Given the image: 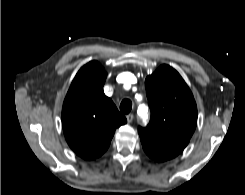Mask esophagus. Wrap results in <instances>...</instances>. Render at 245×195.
<instances>
[{
    "instance_id": "34e87169",
    "label": "esophagus",
    "mask_w": 245,
    "mask_h": 195,
    "mask_svg": "<svg viewBox=\"0 0 245 195\" xmlns=\"http://www.w3.org/2000/svg\"><path fill=\"white\" fill-rule=\"evenodd\" d=\"M126 119H127L128 123H131L133 121V119H134V115L133 114H128L126 116Z\"/></svg>"
}]
</instances>
